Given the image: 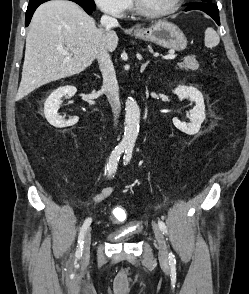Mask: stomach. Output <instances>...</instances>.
<instances>
[{
	"mask_svg": "<svg viewBox=\"0 0 249 294\" xmlns=\"http://www.w3.org/2000/svg\"><path fill=\"white\" fill-rule=\"evenodd\" d=\"M134 36L177 51H182L187 46V38L182 30L165 20L157 21L150 27L135 30Z\"/></svg>",
	"mask_w": 249,
	"mask_h": 294,
	"instance_id": "stomach-1",
	"label": "stomach"
}]
</instances>
